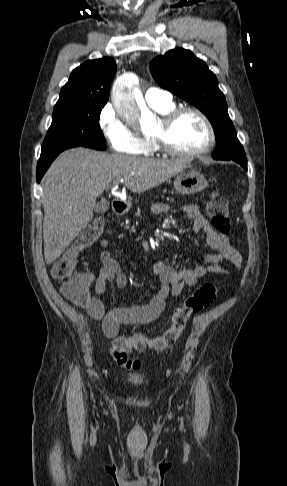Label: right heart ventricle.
Listing matches in <instances>:
<instances>
[{"label": "right heart ventricle", "mask_w": 287, "mask_h": 486, "mask_svg": "<svg viewBox=\"0 0 287 486\" xmlns=\"http://www.w3.org/2000/svg\"><path fill=\"white\" fill-rule=\"evenodd\" d=\"M157 112L160 114L164 115L174 109L173 103L164 106V107H156L154 108ZM158 151L156 145L152 141L150 137H144L141 139V149L138 152V154L144 155V156H152Z\"/></svg>", "instance_id": "1"}]
</instances>
